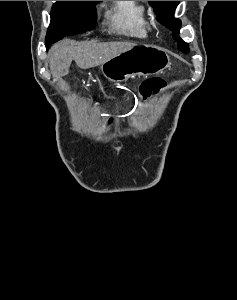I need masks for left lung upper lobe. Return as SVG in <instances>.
<instances>
[{"instance_id":"5c2ea615","label":"left lung upper lobe","mask_w":237,"mask_h":300,"mask_svg":"<svg viewBox=\"0 0 237 300\" xmlns=\"http://www.w3.org/2000/svg\"><path fill=\"white\" fill-rule=\"evenodd\" d=\"M149 4L157 13L158 21L173 31V38L178 42L179 49L183 52H188V44L179 37L181 21L174 18V10L178 6L179 1H149Z\"/></svg>"}]
</instances>
